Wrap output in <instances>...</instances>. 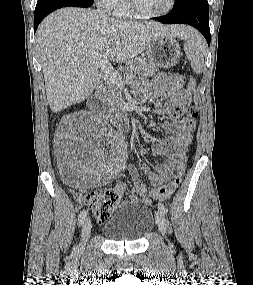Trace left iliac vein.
Returning a JSON list of instances; mask_svg holds the SVG:
<instances>
[{
	"label": "left iliac vein",
	"mask_w": 253,
	"mask_h": 285,
	"mask_svg": "<svg viewBox=\"0 0 253 285\" xmlns=\"http://www.w3.org/2000/svg\"><path fill=\"white\" fill-rule=\"evenodd\" d=\"M156 224L159 228V231L165 236L166 233V220L164 214L161 210H158L155 214Z\"/></svg>",
	"instance_id": "obj_1"
}]
</instances>
